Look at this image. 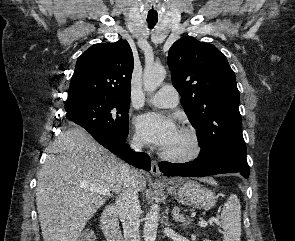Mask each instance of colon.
<instances>
[{
    "mask_svg": "<svg viewBox=\"0 0 295 241\" xmlns=\"http://www.w3.org/2000/svg\"><path fill=\"white\" fill-rule=\"evenodd\" d=\"M92 240L93 238L90 233H85L80 239V241H92Z\"/></svg>",
    "mask_w": 295,
    "mask_h": 241,
    "instance_id": "colon-1",
    "label": "colon"
}]
</instances>
